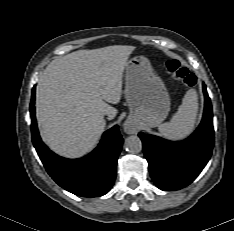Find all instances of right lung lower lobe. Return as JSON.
Instances as JSON below:
<instances>
[{
	"label": "right lung lower lobe",
	"instance_id": "1",
	"mask_svg": "<svg viewBox=\"0 0 234 231\" xmlns=\"http://www.w3.org/2000/svg\"><path fill=\"white\" fill-rule=\"evenodd\" d=\"M35 86L30 104L32 141L54 181L67 191L83 197L106 194L116 177V165L123 139L115 125L103 134L98 147L80 159H65L50 151L41 141L35 118Z\"/></svg>",
	"mask_w": 234,
	"mask_h": 231
}]
</instances>
